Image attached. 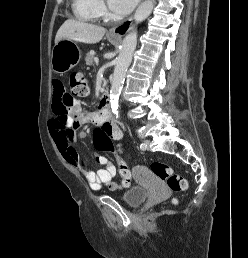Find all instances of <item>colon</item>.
<instances>
[{
	"mask_svg": "<svg viewBox=\"0 0 248 258\" xmlns=\"http://www.w3.org/2000/svg\"><path fill=\"white\" fill-rule=\"evenodd\" d=\"M70 91L73 96L83 97L89 93V85L86 78L80 74L75 73L71 76ZM68 120V113H63V121ZM96 145L100 150H106V155H111L115 159L117 169H120V174L125 184H130L131 161L127 158H122V154L116 149V144H111L110 138L99 128L95 132ZM150 170L153 175L166 182L168 188L174 192H182L187 189V180L184 176L173 171L172 167L166 163L155 161L151 163Z\"/></svg>",
	"mask_w": 248,
	"mask_h": 258,
	"instance_id": "colon-1",
	"label": "colon"
}]
</instances>
